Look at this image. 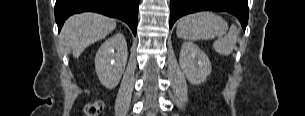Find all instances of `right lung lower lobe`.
Listing matches in <instances>:
<instances>
[{"label": "right lung lower lobe", "mask_w": 305, "mask_h": 116, "mask_svg": "<svg viewBox=\"0 0 305 116\" xmlns=\"http://www.w3.org/2000/svg\"><path fill=\"white\" fill-rule=\"evenodd\" d=\"M139 0H56L55 19L58 31L72 14L92 11L126 22L136 35Z\"/></svg>", "instance_id": "98d812e1"}]
</instances>
